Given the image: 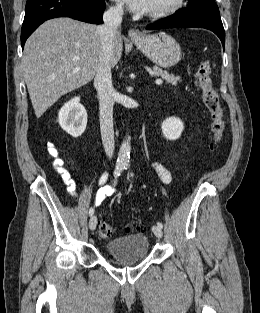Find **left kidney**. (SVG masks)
<instances>
[{"mask_svg":"<svg viewBox=\"0 0 260 313\" xmlns=\"http://www.w3.org/2000/svg\"><path fill=\"white\" fill-rule=\"evenodd\" d=\"M161 129L166 139L176 140L181 136L184 124L179 118L169 117L163 121Z\"/></svg>","mask_w":260,"mask_h":313,"instance_id":"1","label":"left kidney"}]
</instances>
